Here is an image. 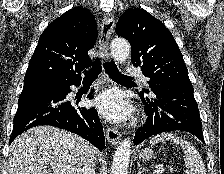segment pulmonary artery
<instances>
[{"mask_svg": "<svg viewBox=\"0 0 224 174\" xmlns=\"http://www.w3.org/2000/svg\"><path fill=\"white\" fill-rule=\"evenodd\" d=\"M127 73L128 76L143 77L141 70L133 66L128 68Z\"/></svg>", "mask_w": 224, "mask_h": 174, "instance_id": "1", "label": "pulmonary artery"}]
</instances>
